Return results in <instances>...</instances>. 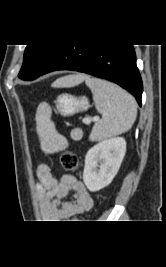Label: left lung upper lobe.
I'll list each match as a JSON object with an SVG mask.
<instances>
[{"label":"left lung upper lobe","instance_id":"obj_1","mask_svg":"<svg viewBox=\"0 0 166 267\" xmlns=\"http://www.w3.org/2000/svg\"><path fill=\"white\" fill-rule=\"evenodd\" d=\"M60 47L61 45H27L18 77L23 80L38 78Z\"/></svg>","mask_w":166,"mask_h":267}]
</instances>
